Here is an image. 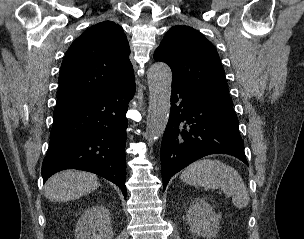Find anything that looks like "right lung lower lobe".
<instances>
[{"label":"right lung lower lobe","mask_w":304,"mask_h":239,"mask_svg":"<svg viewBox=\"0 0 304 239\" xmlns=\"http://www.w3.org/2000/svg\"><path fill=\"white\" fill-rule=\"evenodd\" d=\"M134 77L74 108L54 113L50 146L42 165L44 182L64 169L98 174L126 198V129Z\"/></svg>","instance_id":"obj_1"}]
</instances>
